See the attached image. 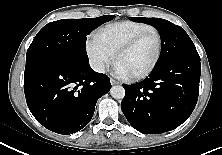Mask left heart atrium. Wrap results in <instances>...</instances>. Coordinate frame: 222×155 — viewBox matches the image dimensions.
Listing matches in <instances>:
<instances>
[{"label": "left heart atrium", "mask_w": 222, "mask_h": 155, "mask_svg": "<svg viewBox=\"0 0 222 155\" xmlns=\"http://www.w3.org/2000/svg\"><path fill=\"white\" fill-rule=\"evenodd\" d=\"M114 73L119 77H128V76H130L127 69L118 61L114 65Z\"/></svg>", "instance_id": "39dd6f15"}]
</instances>
